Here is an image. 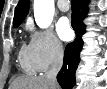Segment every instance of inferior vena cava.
I'll use <instances>...</instances> for the list:
<instances>
[{
	"mask_svg": "<svg viewBox=\"0 0 107 89\" xmlns=\"http://www.w3.org/2000/svg\"><path fill=\"white\" fill-rule=\"evenodd\" d=\"M63 56H64V51L63 47L60 44H56L55 46V52H54V57L53 61L51 64L50 69L45 73L46 79L53 85H57V74L60 71L62 65H63Z\"/></svg>",
	"mask_w": 107,
	"mask_h": 89,
	"instance_id": "1",
	"label": "inferior vena cava"
}]
</instances>
